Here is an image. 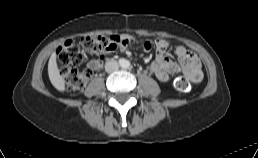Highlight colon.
Listing matches in <instances>:
<instances>
[{
    "label": "colon",
    "instance_id": "1",
    "mask_svg": "<svg viewBox=\"0 0 258 158\" xmlns=\"http://www.w3.org/2000/svg\"><path fill=\"white\" fill-rule=\"evenodd\" d=\"M132 40L118 35L111 36H86L79 42L68 40L58 48L57 54L60 61L59 72L70 92L82 91L91 77L89 70L79 71L77 66L84 62V54L103 55L115 52L121 45H130ZM176 87L182 92H190L191 82L187 78L176 81Z\"/></svg>",
    "mask_w": 258,
    "mask_h": 158
}]
</instances>
